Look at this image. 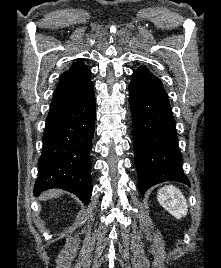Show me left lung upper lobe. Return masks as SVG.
<instances>
[{"mask_svg":"<svg viewBox=\"0 0 221 268\" xmlns=\"http://www.w3.org/2000/svg\"><path fill=\"white\" fill-rule=\"evenodd\" d=\"M133 75V77L142 79L144 81L162 85L161 81L156 76H154L145 66L139 67L134 71Z\"/></svg>","mask_w":221,"mask_h":268,"instance_id":"1","label":"left lung upper lobe"}]
</instances>
